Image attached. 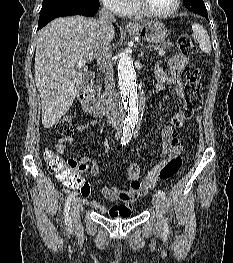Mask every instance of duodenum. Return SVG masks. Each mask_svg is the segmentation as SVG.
Returning a JSON list of instances; mask_svg holds the SVG:
<instances>
[{"mask_svg": "<svg viewBox=\"0 0 233 263\" xmlns=\"http://www.w3.org/2000/svg\"><path fill=\"white\" fill-rule=\"evenodd\" d=\"M94 75L86 73L80 83L78 90V101L82 110L94 118H100L105 114L106 102H110L105 93L104 86L98 85L92 89Z\"/></svg>", "mask_w": 233, "mask_h": 263, "instance_id": "1", "label": "duodenum"}]
</instances>
